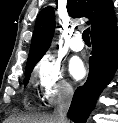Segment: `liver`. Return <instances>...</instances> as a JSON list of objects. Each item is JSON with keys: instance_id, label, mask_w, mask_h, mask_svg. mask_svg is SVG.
<instances>
[{"instance_id": "1", "label": "liver", "mask_w": 118, "mask_h": 123, "mask_svg": "<svg viewBox=\"0 0 118 123\" xmlns=\"http://www.w3.org/2000/svg\"><path fill=\"white\" fill-rule=\"evenodd\" d=\"M4 123H58L53 115L32 114L26 116H11Z\"/></svg>"}]
</instances>
